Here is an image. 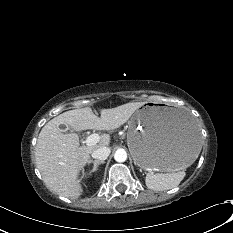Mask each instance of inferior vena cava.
Instances as JSON below:
<instances>
[{"label": "inferior vena cava", "instance_id": "obj_1", "mask_svg": "<svg viewBox=\"0 0 233 233\" xmlns=\"http://www.w3.org/2000/svg\"><path fill=\"white\" fill-rule=\"evenodd\" d=\"M110 148L108 147H100L92 152V157L97 160H106L110 155Z\"/></svg>", "mask_w": 233, "mask_h": 233}]
</instances>
